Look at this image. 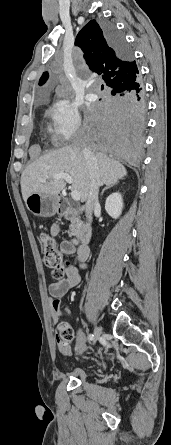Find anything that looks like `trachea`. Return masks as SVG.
<instances>
[{
  "instance_id": "1",
  "label": "trachea",
  "mask_w": 171,
  "mask_h": 445,
  "mask_svg": "<svg viewBox=\"0 0 171 445\" xmlns=\"http://www.w3.org/2000/svg\"><path fill=\"white\" fill-rule=\"evenodd\" d=\"M101 89H102V90L104 89V86H103V85L101 86Z\"/></svg>"
}]
</instances>
